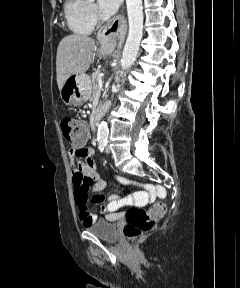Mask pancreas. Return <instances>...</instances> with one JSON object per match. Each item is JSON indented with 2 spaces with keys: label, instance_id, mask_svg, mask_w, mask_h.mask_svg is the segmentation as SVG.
I'll list each match as a JSON object with an SVG mask.
<instances>
[{
  "label": "pancreas",
  "instance_id": "obj_1",
  "mask_svg": "<svg viewBox=\"0 0 240 288\" xmlns=\"http://www.w3.org/2000/svg\"><path fill=\"white\" fill-rule=\"evenodd\" d=\"M101 75V71L100 70H96L93 72L92 74V84H93V90L95 92H97L99 90V77Z\"/></svg>",
  "mask_w": 240,
  "mask_h": 288
}]
</instances>
